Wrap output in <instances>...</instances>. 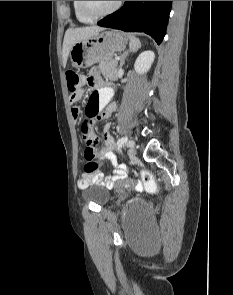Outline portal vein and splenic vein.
I'll return each mask as SVG.
<instances>
[{
    "label": "portal vein and splenic vein",
    "mask_w": 233,
    "mask_h": 295,
    "mask_svg": "<svg viewBox=\"0 0 233 295\" xmlns=\"http://www.w3.org/2000/svg\"><path fill=\"white\" fill-rule=\"evenodd\" d=\"M115 60H116V61L119 60V57H115Z\"/></svg>",
    "instance_id": "18ae733b"
}]
</instances>
